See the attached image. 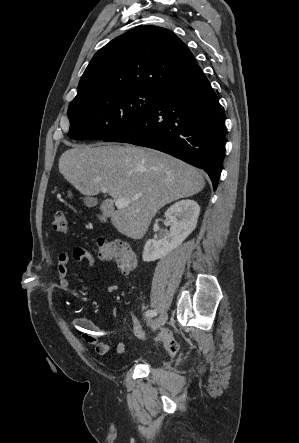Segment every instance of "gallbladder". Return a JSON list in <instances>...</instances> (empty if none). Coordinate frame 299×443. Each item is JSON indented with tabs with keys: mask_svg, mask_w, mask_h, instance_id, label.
Segmentation results:
<instances>
[{
	"mask_svg": "<svg viewBox=\"0 0 299 443\" xmlns=\"http://www.w3.org/2000/svg\"><path fill=\"white\" fill-rule=\"evenodd\" d=\"M84 204H85L87 207H93V206L97 205V200L94 199V198H92V197H86V198L84 199Z\"/></svg>",
	"mask_w": 299,
	"mask_h": 443,
	"instance_id": "1",
	"label": "gallbladder"
}]
</instances>
